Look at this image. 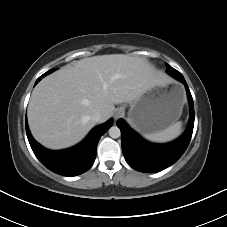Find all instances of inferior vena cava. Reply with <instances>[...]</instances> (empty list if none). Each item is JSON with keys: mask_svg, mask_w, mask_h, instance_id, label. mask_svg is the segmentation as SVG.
Listing matches in <instances>:
<instances>
[{"mask_svg": "<svg viewBox=\"0 0 227 227\" xmlns=\"http://www.w3.org/2000/svg\"><path fill=\"white\" fill-rule=\"evenodd\" d=\"M101 118H102V114H101V112H99V111H96L95 113H93V115H92V117H91V119H92L95 123L100 122V121H101Z\"/></svg>", "mask_w": 227, "mask_h": 227, "instance_id": "inferior-vena-cava-1", "label": "inferior vena cava"}]
</instances>
